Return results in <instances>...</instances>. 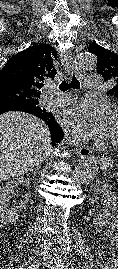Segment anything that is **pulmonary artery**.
<instances>
[{"instance_id":"obj_1","label":"pulmonary artery","mask_w":118,"mask_h":269,"mask_svg":"<svg viewBox=\"0 0 118 269\" xmlns=\"http://www.w3.org/2000/svg\"><path fill=\"white\" fill-rule=\"evenodd\" d=\"M87 87L91 90H98L101 87L102 79L100 76H90L85 79ZM52 103L55 104H66L75 100V97L68 96L62 98H50Z\"/></svg>"}]
</instances>
